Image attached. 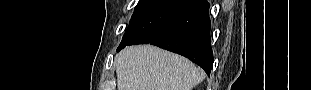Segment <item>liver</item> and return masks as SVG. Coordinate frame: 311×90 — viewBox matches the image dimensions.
Wrapping results in <instances>:
<instances>
[{"label": "liver", "mask_w": 311, "mask_h": 90, "mask_svg": "<svg viewBox=\"0 0 311 90\" xmlns=\"http://www.w3.org/2000/svg\"><path fill=\"white\" fill-rule=\"evenodd\" d=\"M115 63L118 90H191L203 78L185 57L151 45L127 47Z\"/></svg>", "instance_id": "6515ba94"}]
</instances>
